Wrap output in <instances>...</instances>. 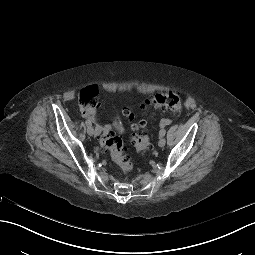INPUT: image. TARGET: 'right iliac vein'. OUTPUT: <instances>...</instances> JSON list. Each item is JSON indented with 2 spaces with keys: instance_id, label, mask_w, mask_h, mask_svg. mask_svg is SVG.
<instances>
[{
  "instance_id": "63e3f726",
  "label": "right iliac vein",
  "mask_w": 255,
  "mask_h": 255,
  "mask_svg": "<svg viewBox=\"0 0 255 255\" xmlns=\"http://www.w3.org/2000/svg\"><path fill=\"white\" fill-rule=\"evenodd\" d=\"M87 133L90 135V136H93L94 135V129L92 126H88L87 128Z\"/></svg>"
}]
</instances>
